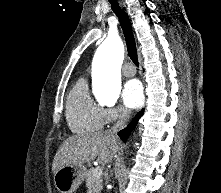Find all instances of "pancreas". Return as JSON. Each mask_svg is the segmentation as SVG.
I'll return each instance as SVG.
<instances>
[{"instance_id":"1","label":"pancreas","mask_w":221,"mask_h":193,"mask_svg":"<svg viewBox=\"0 0 221 193\" xmlns=\"http://www.w3.org/2000/svg\"><path fill=\"white\" fill-rule=\"evenodd\" d=\"M94 170V168H91L86 172L87 193H100L103 188L102 175H94Z\"/></svg>"}]
</instances>
